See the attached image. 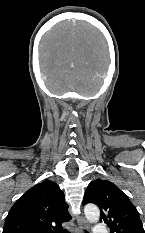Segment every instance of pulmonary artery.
Returning <instances> with one entry per match:
<instances>
[{
    "label": "pulmonary artery",
    "instance_id": "obj_1",
    "mask_svg": "<svg viewBox=\"0 0 145 233\" xmlns=\"http://www.w3.org/2000/svg\"><path fill=\"white\" fill-rule=\"evenodd\" d=\"M93 232L94 233H109V231L106 230L101 223L96 224Z\"/></svg>",
    "mask_w": 145,
    "mask_h": 233
}]
</instances>
